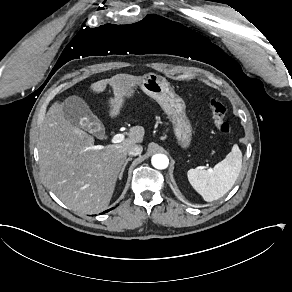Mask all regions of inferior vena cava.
Here are the masks:
<instances>
[{
	"mask_svg": "<svg viewBox=\"0 0 292 292\" xmlns=\"http://www.w3.org/2000/svg\"><path fill=\"white\" fill-rule=\"evenodd\" d=\"M143 147L141 145H135L128 151L129 156H137L142 153Z\"/></svg>",
	"mask_w": 292,
	"mask_h": 292,
	"instance_id": "obj_1",
	"label": "inferior vena cava"
}]
</instances>
